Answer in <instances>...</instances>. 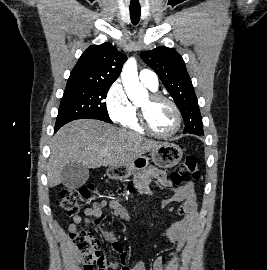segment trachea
<instances>
[{"label":"trachea","mask_w":267,"mask_h":270,"mask_svg":"<svg viewBox=\"0 0 267 270\" xmlns=\"http://www.w3.org/2000/svg\"><path fill=\"white\" fill-rule=\"evenodd\" d=\"M140 15H141V8L139 7H130V18L131 22L136 25L138 24L140 20Z\"/></svg>","instance_id":"trachea-1"}]
</instances>
